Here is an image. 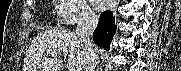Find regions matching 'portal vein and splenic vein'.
<instances>
[{
    "instance_id": "18ae733b",
    "label": "portal vein and splenic vein",
    "mask_w": 181,
    "mask_h": 71,
    "mask_svg": "<svg viewBox=\"0 0 181 71\" xmlns=\"http://www.w3.org/2000/svg\"><path fill=\"white\" fill-rule=\"evenodd\" d=\"M55 55L57 56V54H56V53H55V54H54V53L52 54V56H55Z\"/></svg>"
}]
</instances>
